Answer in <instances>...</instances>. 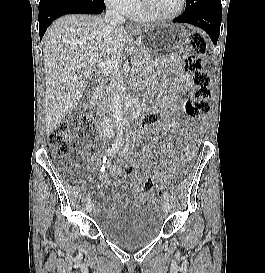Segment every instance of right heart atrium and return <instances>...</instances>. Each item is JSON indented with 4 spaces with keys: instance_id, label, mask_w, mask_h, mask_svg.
Instances as JSON below:
<instances>
[{
    "instance_id": "right-heart-atrium-1",
    "label": "right heart atrium",
    "mask_w": 265,
    "mask_h": 273,
    "mask_svg": "<svg viewBox=\"0 0 265 273\" xmlns=\"http://www.w3.org/2000/svg\"><path fill=\"white\" fill-rule=\"evenodd\" d=\"M138 0H104L107 7L121 13L128 14L137 4Z\"/></svg>"
}]
</instances>
